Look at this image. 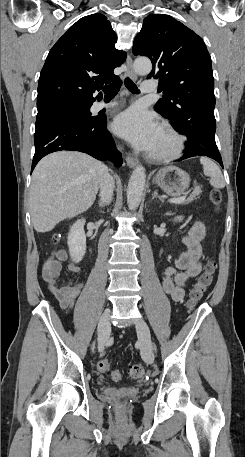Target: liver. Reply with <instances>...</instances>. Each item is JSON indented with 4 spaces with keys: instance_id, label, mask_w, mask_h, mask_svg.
I'll return each instance as SVG.
<instances>
[{
    "instance_id": "1",
    "label": "liver",
    "mask_w": 245,
    "mask_h": 457,
    "mask_svg": "<svg viewBox=\"0 0 245 457\" xmlns=\"http://www.w3.org/2000/svg\"><path fill=\"white\" fill-rule=\"evenodd\" d=\"M108 166L84 152L58 150L39 160L32 174L30 214L37 233L92 206Z\"/></svg>"
}]
</instances>
